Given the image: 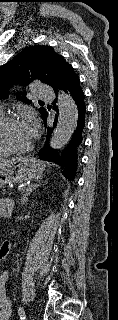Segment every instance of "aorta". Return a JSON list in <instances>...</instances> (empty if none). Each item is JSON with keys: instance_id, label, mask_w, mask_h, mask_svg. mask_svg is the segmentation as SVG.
I'll use <instances>...</instances> for the list:
<instances>
[{"instance_id": "762f6f07", "label": "aorta", "mask_w": 118, "mask_h": 320, "mask_svg": "<svg viewBox=\"0 0 118 320\" xmlns=\"http://www.w3.org/2000/svg\"><path fill=\"white\" fill-rule=\"evenodd\" d=\"M58 107V124L49 143L52 149H60L69 142L78 119L77 106L70 95L61 94L58 98Z\"/></svg>"}]
</instances>
